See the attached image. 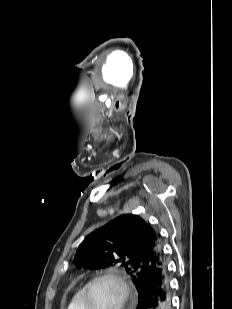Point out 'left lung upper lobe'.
I'll use <instances>...</instances> for the list:
<instances>
[{
    "instance_id": "obj_1",
    "label": "left lung upper lobe",
    "mask_w": 232,
    "mask_h": 309,
    "mask_svg": "<svg viewBox=\"0 0 232 309\" xmlns=\"http://www.w3.org/2000/svg\"><path fill=\"white\" fill-rule=\"evenodd\" d=\"M163 262L159 233L144 219L132 214L119 216L90 233L74 258L79 268H124L138 295L151 270Z\"/></svg>"
}]
</instances>
